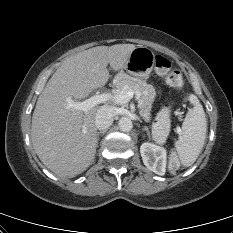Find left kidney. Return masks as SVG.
I'll list each match as a JSON object with an SVG mask.
<instances>
[{
  "mask_svg": "<svg viewBox=\"0 0 233 233\" xmlns=\"http://www.w3.org/2000/svg\"><path fill=\"white\" fill-rule=\"evenodd\" d=\"M140 153L144 165L158 175H164L166 171L167 153L166 149L153 143H143Z\"/></svg>",
  "mask_w": 233,
  "mask_h": 233,
  "instance_id": "obj_1",
  "label": "left kidney"
}]
</instances>
